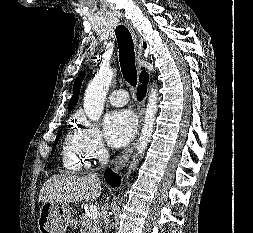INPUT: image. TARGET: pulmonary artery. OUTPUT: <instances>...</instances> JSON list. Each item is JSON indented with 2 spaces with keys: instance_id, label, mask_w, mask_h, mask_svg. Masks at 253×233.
Returning <instances> with one entry per match:
<instances>
[{
  "instance_id": "e3ab8cb5",
  "label": "pulmonary artery",
  "mask_w": 253,
  "mask_h": 233,
  "mask_svg": "<svg viewBox=\"0 0 253 233\" xmlns=\"http://www.w3.org/2000/svg\"><path fill=\"white\" fill-rule=\"evenodd\" d=\"M108 100L111 105L116 106V107H121L128 103L129 95L127 94L125 90L118 89V90L113 91L109 95Z\"/></svg>"
}]
</instances>
